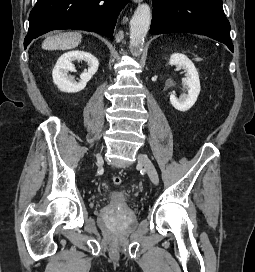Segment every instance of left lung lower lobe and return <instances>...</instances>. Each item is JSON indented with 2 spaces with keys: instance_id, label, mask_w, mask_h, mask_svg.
<instances>
[{
  "instance_id": "left-lung-lower-lobe-1",
  "label": "left lung lower lobe",
  "mask_w": 255,
  "mask_h": 272,
  "mask_svg": "<svg viewBox=\"0 0 255 272\" xmlns=\"http://www.w3.org/2000/svg\"><path fill=\"white\" fill-rule=\"evenodd\" d=\"M152 1L151 34L186 32L205 35L234 51L230 24L224 14L222 0Z\"/></svg>"
}]
</instances>
